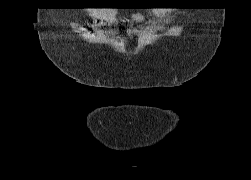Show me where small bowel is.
Masks as SVG:
<instances>
[{"instance_id": "1", "label": "small bowel", "mask_w": 251, "mask_h": 180, "mask_svg": "<svg viewBox=\"0 0 251 180\" xmlns=\"http://www.w3.org/2000/svg\"><path fill=\"white\" fill-rule=\"evenodd\" d=\"M131 18H132V20L137 21V22L143 21V16L140 14H135Z\"/></svg>"}]
</instances>
